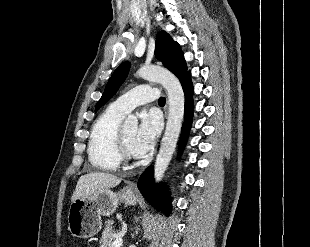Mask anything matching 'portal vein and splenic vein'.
<instances>
[{
  "label": "portal vein and splenic vein",
  "instance_id": "portal-vein-and-splenic-vein-1",
  "mask_svg": "<svg viewBox=\"0 0 310 247\" xmlns=\"http://www.w3.org/2000/svg\"><path fill=\"white\" fill-rule=\"evenodd\" d=\"M123 235L118 236L114 241H113V247H121L123 244Z\"/></svg>",
  "mask_w": 310,
  "mask_h": 247
}]
</instances>
